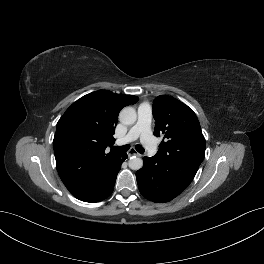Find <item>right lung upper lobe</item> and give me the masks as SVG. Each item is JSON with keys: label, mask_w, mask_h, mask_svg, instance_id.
Returning <instances> with one entry per match:
<instances>
[{"label": "right lung upper lobe", "mask_w": 264, "mask_h": 264, "mask_svg": "<svg viewBox=\"0 0 264 264\" xmlns=\"http://www.w3.org/2000/svg\"><path fill=\"white\" fill-rule=\"evenodd\" d=\"M137 101V96L100 90L78 99L59 119L53 140L57 171L77 199L93 202L107 189L122 153L105 149L115 141L120 110Z\"/></svg>", "instance_id": "cb5924a9"}]
</instances>
